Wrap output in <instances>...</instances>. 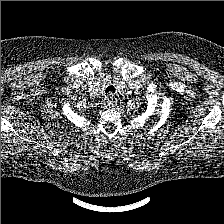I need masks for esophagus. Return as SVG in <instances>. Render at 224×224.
I'll return each instance as SVG.
<instances>
[{
  "label": "esophagus",
  "instance_id": "obj_1",
  "mask_svg": "<svg viewBox=\"0 0 224 224\" xmlns=\"http://www.w3.org/2000/svg\"><path fill=\"white\" fill-rule=\"evenodd\" d=\"M116 102V99H115V97H113V96H109L108 97V99H107V103H108V105L110 106V105H113L114 103Z\"/></svg>",
  "mask_w": 224,
  "mask_h": 224
}]
</instances>
